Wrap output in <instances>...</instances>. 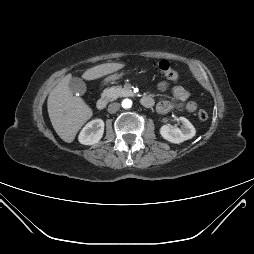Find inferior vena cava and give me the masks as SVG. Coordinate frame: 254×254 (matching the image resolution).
<instances>
[{
    "instance_id": "obj_1",
    "label": "inferior vena cava",
    "mask_w": 254,
    "mask_h": 254,
    "mask_svg": "<svg viewBox=\"0 0 254 254\" xmlns=\"http://www.w3.org/2000/svg\"><path fill=\"white\" fill-rule=\"evenodd\" d=\"M119 107H120V104L118 102H114V103L109 104L107 110L109 113H115L119 110Z\"/></svg>"
}]
</instances>
